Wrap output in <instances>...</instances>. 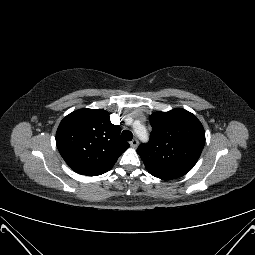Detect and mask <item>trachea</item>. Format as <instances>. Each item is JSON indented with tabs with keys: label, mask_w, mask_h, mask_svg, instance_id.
<instances>
[{
	"label": "trachea",
	"mask_w": 255,
	"mask_h": 255,
	"mask_svg": "<svg viewBox=\"0 0 255 255\" xmlns=\"http://www.w3.org/2000/svg\"><path fill=\"white\" fill-rule=\"evenodd\" d=\"M122 138L126 141H131L133 138V134L129 130H124L121 134Z\"/></svg>",
	"instance_id": "trachea-1"
}]
</instances>
